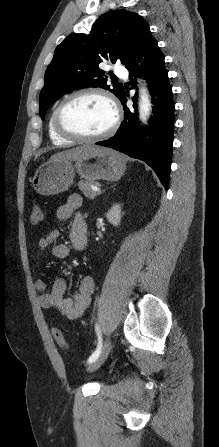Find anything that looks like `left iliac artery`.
<instances>
[{
  "instance_id": "1",
  "label": "left iliac artery",
  "mask_w": 219,
  "mask_h": 447,
  "mask_svg": "<svg viewBox=\"0 0 219 447\" xmlns=\"http://www.w3.org/2000/svg\"><path fill=\"white\" fill-rule=\"evenodd\" d=\"M95 328H96V332L98 335V345H97V348L94 351V353L89 357V359L87 361L88 363H91L97 359V357L99 356V354L101 352V348H102V338L100 335L99 327L96 325Z\"/></svg>"
}]
</instances>
